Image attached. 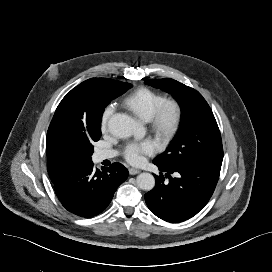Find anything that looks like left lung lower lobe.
<instances>
[{
  "instance_id": "0a47b994",
  "label": "left lung lower lobe",
  "mask_w": 272,
  "mask_h": 272,
  "mask_svg": "<svg viewBox=\"0 0 272 272\" xmlns=\"http://www.w3.org/2000/svg\"><path fill=\"white\" fill-rule=\"evenodd\" d=\"M160 171L155 187L145 194L149 209L159 218L171 223L185 221L196 215L209 201L216 187L221 164L202 162L179 166H163L153 161ZM175 173L176 178L170 174Z\"/></svg>"
}]
</instances>
